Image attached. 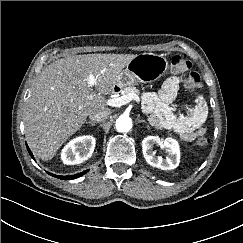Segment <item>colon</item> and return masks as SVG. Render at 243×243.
<instances>
[{"mask_svg":"<svg viewBox=\"0 0 243 243\" xmlns=\"http://www.w3.org/2000/svg\"><path fill=\"white\" fill-rule=\"evenodd\" d=\"M171 71L175 75H181L187 73L185 78V86L190 90H200L202 88V82L200 75L195 71H190L191 63L186 58L179 55L174 56L170 61ZM196 143L200 146L207 145L209 139L203 133L196 134Z\"/></svg>","mask_w":243,"mask_h":243,"instance_id":"colon-1","label":"colon"}]
</instances>
